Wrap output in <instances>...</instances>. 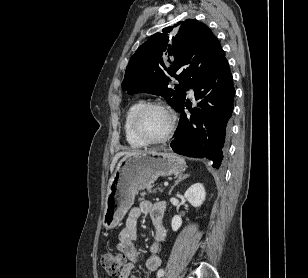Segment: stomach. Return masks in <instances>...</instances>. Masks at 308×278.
Here are the masks:
<instances>
[{
	"instance_id": "0dacf381",
	"label": "stomach",
	"mask_w": 308,
	"mask_h": 278,
	"mask_svg": "<svg viewBox=\"0 0 308 278\" xmlns=\"http://www.w3.org/2000/svg\"><path fill=\"white\" fill-rule=\"evenodd\" d=\"M184 167V159L170 152L148 151L125 155L108 182L103 227L106 230L116 227L140 190L151 186L160 176L180 173Z\"/></svg>"
}]
</instances>
